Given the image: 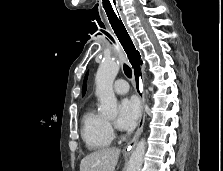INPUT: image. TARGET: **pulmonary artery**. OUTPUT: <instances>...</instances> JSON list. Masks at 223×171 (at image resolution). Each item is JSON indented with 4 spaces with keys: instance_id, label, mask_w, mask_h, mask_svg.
Returning a JSON list of instances; mask_svg holds the SVG:
<instances>
[{
    "instance_id": "1",
    "label": "pulmonary artery",
    "mask_w": 223,
    "mask_h": 171,
    "mask_svg": "<svg viewBox=\"0 0 223 171\" xmlns=\"http://www.w3.org/2000/svg\"><path fill=\"white\" fill-rule=\"evenodd\" d=\"M113 89L117 94H125L128 92L129 86L124 79H118L115 81Z\"/></svg>"
}]
</instances>
